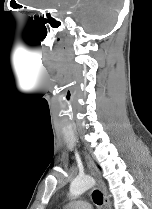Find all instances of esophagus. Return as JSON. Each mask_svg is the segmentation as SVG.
<instances>
[{"instance_id": "34e87169", "label": "esophagus", "mask_w": 152, "mask_h": 209, "mask_svg": "<svg viewBox=\"0 0 152 209\" xmlns=\"http://www.w3.org/2000/svg\"><path fill=\"white\" fill-rule=\"evenodd\" d=\"M84 155H85L88 170L91 173V175L94 176L95 179L97 180L98 186L103 194L104 209H111L110 204H109V200H108V197L106 194L105 186H104V183L101 179L100 173H99L98 169L96 168V166L94 165L90 155L86 151L84 152Z\"/></svg>"}]
</instances>
